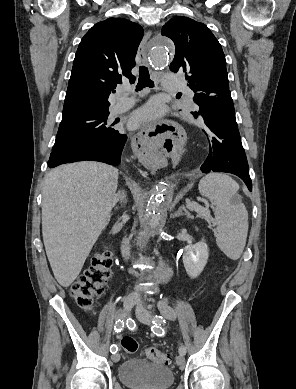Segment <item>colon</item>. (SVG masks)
<instances>
[{"mask_svg": "<svg viewBox=\"0 0 296 389\" xmlns=\"http://www.w3.org/2000/svg\"><path fill=\"white\" fill-rule=\"evenodd\" d=\"M113 259L109 251L104 250L97 253L93 258L90 267L70 287V294L80 308L90 311L93 308L94 300L104 290L111 278V267ZM123 350L129 354L138 351V342L131 336L121 339ZM146 357L159 364H169V354L151 347L146 350Z\"/></svg>", "mask_w": 296, "mask_h": 389, "instance_id": "obj_1", "label": "colon"}]
</instances>
